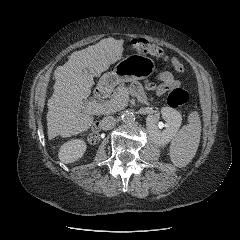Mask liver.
Here are the masks:
<instances>
[{
    "label": "liver",
    "mask_w": 240,
    "mask_h": 240,
    "mask_svg": "<svg viewBox=\"0 0 240 240\" xmlns=\"http://www.w3.org/2000/svg\"><path fill=\"white\" fill-rule=\"evenodd\" d=\"M123 40L102 39L95 45L73 52L54 72V92L48 100L47 134L51 140L87 131L93 116L83 111V99L91 94L93 77L122 58ZM100 114V113H91Z\"/></svg>",
    "instance_id": "obj_1"
}]
</instances>
